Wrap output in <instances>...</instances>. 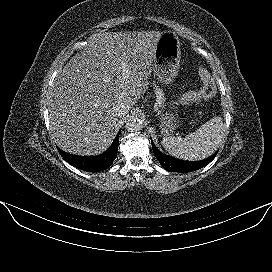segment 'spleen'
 I'll return each instance as SVG.
<instances>
[{
    "label": "spleen",
    "mask_w": 272,
    "mask_h": 272,
    "mask_svg": "<svg viewBox=\"0 0 272 272\" xmlns=\"http://www.w3.org/2000/svg\"><path fill=\"white\" fill-rule=\"evenodd\" d=\"M224 131V124L220 116L204 123L195 132L184 139L174 136L163 137L162 146L174 157L185 160L204 159L218 148Z\"/></svg>",
    "instance_id": "3e777b00"
}]
</instances>
